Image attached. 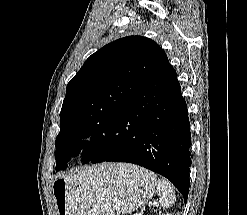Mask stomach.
Here are the masks:
<instances>
[{"label": "stomach", "instance_id": "1", "mask_svg": "<svg viewBox=\"0 0 247 215\" xmlns=\"http://www.w3.org/2000/svg\"><path fill=\"white\" fill-rule=\"evenodd\" d=\"M58 177L52 194L58 215H124L145 204L154 195L155 175L130 164H113Z\"/></svg>", "mask_w": 247, "mask_h": 215}]
</instances>
